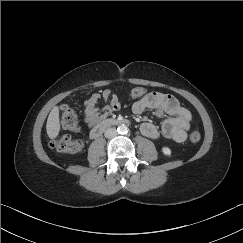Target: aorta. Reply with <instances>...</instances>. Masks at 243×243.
Listing matches in <instances>:
<instances>
[{
    "mask_svg": "<svg viewBox=\"0 0 243 243\" xmlns=\"http://www.w3.org/2000/svg\"><path fill=\"white\" fill-rule=\"evenodd\" d=\"M117 132L119 134H125L128 132V127L126 125L122 124V125L118 126Z\"/></svg>",
    "mask_w": 243,
    "mask_h": 243,
    "instance_id": "762f6f07",
    "label": "aorta"
}]
</instances>
